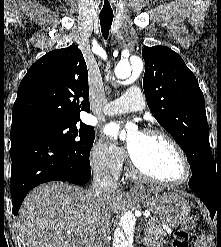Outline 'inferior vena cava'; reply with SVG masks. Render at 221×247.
Masks as SVG:
<instances>
[{
	"mask_svg": "<svg viewBox=\"0 0 221 247\" xmlns=\"http://www.w3.org/2000/svg\"><path fill=\"white\" fill-rule=\"evenodd\" d=\"M118 188L116 181L110 176L106 168H95L93 171V181L90 189V193L99 202H105L111 194H113ZM107 234L102 233L97 236L94 242L95 247H110L107 239Z\"/></svg>",
	"mask_w": 221,
	"mask_h": 247,
	"instance_id": "inferior-vena-cava-1",
	"label": "inferior vena cava"
}]
</instances>
